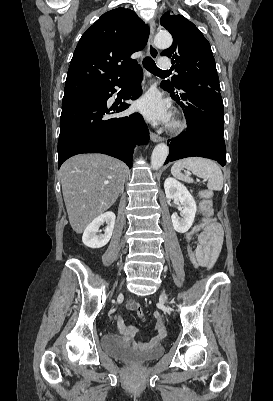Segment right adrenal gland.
<instances>
[{
    "label": "right adrenal gland",
    "instance_id": "obj_1",
    "mask_svg": "<svg viewBox=\"0 0 273 401\" xmlns=\"http://www.w3.org/2000/svg\"><path fill=\"white\" fill-rule=\"evenodd\" d=\"M125 180H126V174H125L124 182H125Z\"/></svg>",
    "mask_w": 273,
    "mask_h": 401
}]
</instances>
